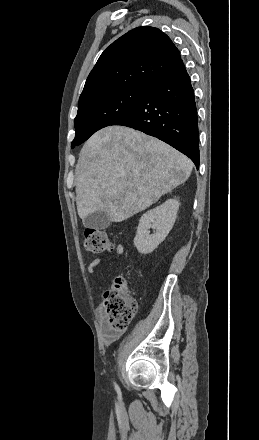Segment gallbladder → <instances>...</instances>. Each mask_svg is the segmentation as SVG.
Returning a JSON list of instances; mask_svg holds the SVG:
<instances>
[{
	"mask_svg": "<svg viewBox=\"0 0 259 440\" xmlns=\"http://www.w3.org/2000/svg\"><path fill=\"white\" fill-rule=\"evenodd\" d=\"M110 224L109 216L103 211H95L83 220L84 227L95 230H105Z\"/></svg>",
	"mask_w": 259,
	"mask_h": 440,
	"instance_id": "bac80fb5",
	"label": "gallbladder"
}]
</instances>
